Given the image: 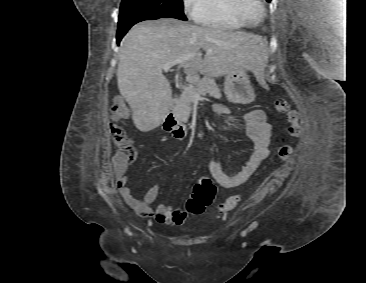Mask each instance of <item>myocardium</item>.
<instances>
[{"label": "myocardium", "instance_id": "myocardium-1", "mask_svg": "<svg viewBox=\"0 0 366 283\" xmlns=\"http://www.w3.org/2000/svg\"><path fill=\"white\" fill-rule=\"evenodd\" d=\"M253 1L259 6L260 12L256 21L250 22L244 14V8L248 0H231V8L235 18L240 23H242L244 26L247 27L256 26L262 20L265 13V5L263 0H253Z\"/></svg>", "mask_w": 366, "mask_h": 283}]
</instances>
